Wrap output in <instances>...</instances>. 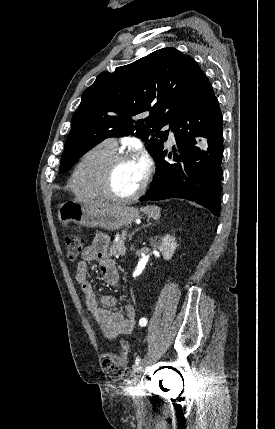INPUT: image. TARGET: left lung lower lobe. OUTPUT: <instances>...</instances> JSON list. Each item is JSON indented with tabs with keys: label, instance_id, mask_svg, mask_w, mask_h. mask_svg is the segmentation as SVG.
Returning <instances> with one entry per match:
<instances>
[{
	"label": "left lung lower lobe",
	"instance_id": "1",
	"mask_svg": "<svg viewBox=\"0 0 275 429\" xmlns=\"http://www.w3.org/2000/svg\"><path fill=\"white\" fill-rule=\"evenodd\" d=\"M222 114L206 75H199L193 95L172 126L178 150L171 161L162 149L154 158V180L140 201L184 198L214 215L220 212L221 161L223 155ZM195 137L208 139V150H198Z\"/></svg>",
	"mask_w": 275,
	"mask_h": 429
}]
</instances>
